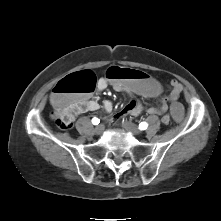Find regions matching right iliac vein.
<instances>
[{
    "label": "right iliac vein",
    "mask_w": 221,
    "mask_h": 221,
    "mask_svg": "<svg viewBox=\"0 0 221 221\" xmlns=\"http://www.w3.org/2000/svg\"><path fill=\"white\" fill-rule=\"evenodd\" d=\"M104 130V126L102 124L98 125L95 127L94 129V132L97 134V135H100Z\"/></svg>",
    "instance_id": "63e3f726"
}]
</instances>
